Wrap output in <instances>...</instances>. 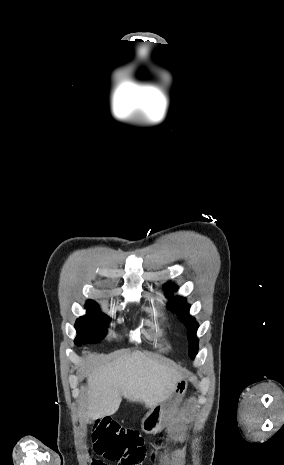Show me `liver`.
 Listing matches in <instances>:
<instances>
[{"mask_svg": "<svg viewBox=\"0 0 284 465\" xmlns=\"http://www.w3.org/2000/svg\"><path fill=\"white\" fill-rule=\"evenodd\" d=\"M87 367L89 387L82 417L93 421L114 415L122 397L153 409L168 399L183 379L177 367L151 359L141 351L126 353L101 367L89 355Z\"/></svg>", "mask_w": 284, "mask_h": 465, "instance_id": "liver-1", "label": "liver"}]
</instances>
